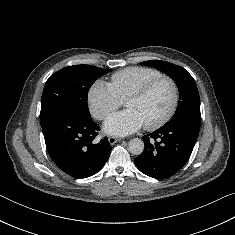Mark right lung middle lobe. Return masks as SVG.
<instances>
[{
	"instance_id": "1",
	"label": "right lung middle lobe",
	"mask_w": 235,
	"mask_h": 235,
	"mask_svg": "<svg viewBox=\"0 0 235 235\" xmlns=\"http://www.w3.org/2000/svg\"><path fill=\"white\" fill-rule=\"evenodd\" d=\"M110 71L90 65H74L51 75L41 98V124L65 112L91 117L87 105L88 91L97 78Z\"/></svg>"
}]
</instances>
